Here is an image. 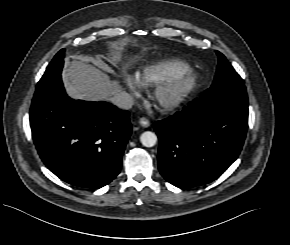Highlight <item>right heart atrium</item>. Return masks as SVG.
<instances>
[{"label":"right heart atrium","mask_w":290,"mask_h":245,"mask_svg":"<svg viewBox=\"0 0 290 245\" xmlns=\"http://www.w3.org/2000/svg\"><path fill=\"white\" fill-rule=\"evenodd\" d=\"M122 83L132 92V94H137L138 86L135 84L133 78L127 74H122L120 77Z\"/></svg>","instance_id":"1"}]
</instances>
